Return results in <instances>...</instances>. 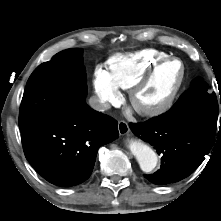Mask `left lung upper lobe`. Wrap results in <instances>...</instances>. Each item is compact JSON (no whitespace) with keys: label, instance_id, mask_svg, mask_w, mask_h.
<instances>
[{"label":"left lung upper lobe","instance_id":"1","mask_svg":"<svg viewBox=\"0 0 221 221\" xmlns=\"http://www.w3.org/2000/svg\"><path fill=\"white\" fill-rule=\"evenodd\" d=\"M208 84L200 79L193 82L174 106L165 114L163 120L188 118L217 119L218 102L215 93L208 92ZM221 103V100H220Z\"/></svg>","mask_w":221,"mask_h":221}]
</instances>
